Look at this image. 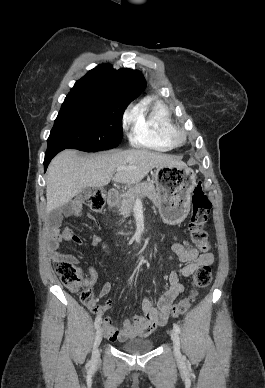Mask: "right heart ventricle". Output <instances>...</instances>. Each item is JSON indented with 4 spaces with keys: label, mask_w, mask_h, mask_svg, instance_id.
I'll return each instance as SVG.
<instances>
[{
    "label": "right heart ventricle",
    "mask_w": 265,
    "mask_h": 388,
    "mask_svg": "<svg viewBox=\"0 0 265 388\" xmlns=\"http://www.w3.org/2000/svg\"><path fill=\"white\" fill-rule=\"evenodd\" d=\"M172 127L170 113L165 105L156 103L151 106L149 101H144L135 111L131 138L138 145L167 150L174 146Z\"/></svg>",
    "instance_id": "1"
}]
</instances>
